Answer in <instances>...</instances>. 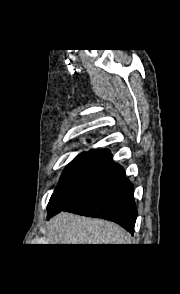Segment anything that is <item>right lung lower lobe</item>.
I'll return each mask as SVG.
<instances>
[{"instance_id": "98d812e1", "label": "right lung lower lobe", "mask_w": 180, "mask_h": 294, "mask_svg": "<svg viewBox=\"0 0 180 294\" xmlns=\"http://www.w3.org/2000/svg\"><path fill=\"white\" fill-rule=\"evenodd\" d=\"M133 185L108 150H97L72 183L48 206V218L60 211L104 218L134 232L137 209Z\"/></svg>"}]
</instances>
